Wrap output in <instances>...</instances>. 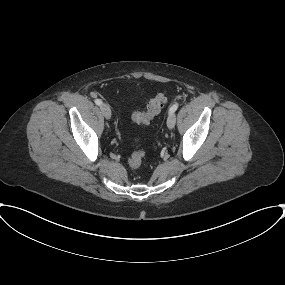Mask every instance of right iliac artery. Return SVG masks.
Wrapping results in <instances>:
<instances>
[{"label": "right iliac artery", "instance_id": "right-iliac-artery-1", "mask_svg": "<svg viewBox=\"0 0 285 285\" xmlns=\"http://www.w3.org/2000/svg\"><path fill=\"white\" fill-rule=\"evenodd\" d=\"M95 103L100 106L102 104V101L100 99H96Z\"/></svg>", "mask_w": 285, "mask_h": 285}]
</instances>
